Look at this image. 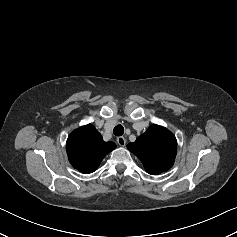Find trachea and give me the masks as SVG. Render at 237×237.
<instances>
[{
	"label": "trachea",
	"instance_id": "trachea-1",
	"mask_svg": "<svg viewBox=\"0 0 237 237\" xmlns=\"http://www.w3.org/2000/svg\"><path fill=\"white\" fill-rule=\"evenodd\" d=\"M113 133H114V135H116V136H121V135H123V133H124V128H123V126H122V125H117V126H115L114 129H113Z\"/></svg>",
	"mask_w": 237,
	"mask_h": 237
}]
</instances>
